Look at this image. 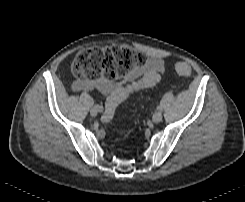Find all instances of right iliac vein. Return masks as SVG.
I'll list each match as a JSON object with an SVG mask.
<instances>
[{
  "label": "right iliac vein",
  "mask_w": 245,
  "mask_h": 202,
  "mask_svg": "<svg viewBox=\"0 0 245 202\" xmlns=\"http://www.w3.org/2000/svg\"><path fill=\"white\" fill-rule=\"evenodd\" d=\"M98 112H100V108H99L97 105L93 106V107L90 109V114H91L92 116H96V115L98 114Z\"/></svg>",
  "instance_id": "obj_1"
}]
</instances>
